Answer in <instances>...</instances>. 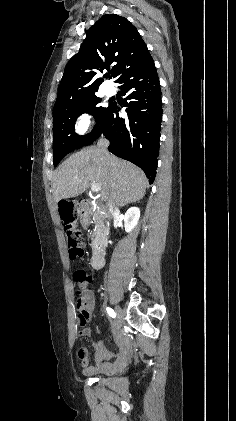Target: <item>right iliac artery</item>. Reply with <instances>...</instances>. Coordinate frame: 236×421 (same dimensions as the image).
<instances>
[{
    "mask_svg": "<svg viewBox=\"0 0 236 421\" xmlns=\"http://www.w3.org/2000/svg\"><path fill=\"white\" fill-rule=\"evenodd\" d=\"M106 310H107V313L112 317V318H115L116 317V314H115V312H114V310L113 309H111V308H109V307H107L106 308Z\"/></svg>",
    "mask_w": 236,
    "mask_h": 421,
    "instance_id": "82829eb1",
    "label": "right iliac artery"
}]
</instances>
